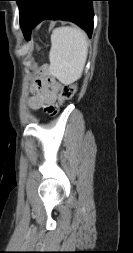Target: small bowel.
I'll return each instance as SVG.
<instances>
[{"label":"small bowel","instance_id":"small-bowel-1","mask_svg":"<svg viewBox=\"0 0 133 253\" xmlns=\"http://www.w3.org/2000/svg\"><path fill=\"white\" fill-rule=\"evenodd\" d=\"M48 69V65L41 66L40 69H35V74H44V71H48ZM31 93L28 100L30 108L52 112L55 109L56 101L60 99L62 86L54 78H38L31 85Z\"/></svg>","mask_w":133,"mask_h":253}]
</instances>
